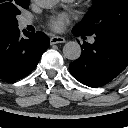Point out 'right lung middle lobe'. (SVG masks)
I'll return each instance as SVG.
<instances>
[{
    "label": "right lung middle lobe",
    "instance_id": "obj_1",
    "mask_svg": "<svg viewBox=\"0 0 128 128\" xmlns=\"http://www.w3.org/2000/svg\"><path fill=\"white\" fill-rule=\"evenodd\" d=\"M29 7V0H9L5 3L0 2V20L12 28H18V20L16 16L20 14L22 8Z\"/></svg>",
    "mask_w": 128,
    "mask_h": 128
}]
</instances>
